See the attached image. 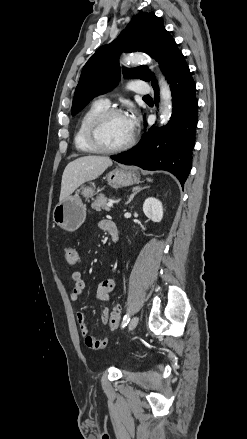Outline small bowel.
Listing matches in <instances>:
<instances>
[{
	"label": "small bowel",
	"instance_id": "c3829d8e",
	"mask_svg": "<svg viewBox=\"0 0 247 439\" xmlns=\"http://www.w3.org/2000/svg\"><path fill=\"white\" fill-rule=\"evenodd\" d=\"M111 221L103 220L100 222V228L104 231L108 232L109 223ZM71 279L73 281V289L70 294V298L72 301H77L79 297L83 294L86 284L82 278V274L80 271L75 270L71 274ZM116 279L115 277H110L103 280L97 288L96 296L101 301H108L110 299V293L113 291L115 287ZM110 311L108 309L104 310L101 316V320L104 324L107 323L109 318ZM76 320L79 325L80 334L84 339L85 345L92 350H100L107 346L108 339L102 338L98 339L89 334V330L86 325L85 315L82 311H78L76 313Z\"/></svg>",
	"mask_w": 247,
	"mask_h": 439
}]
</instances>
